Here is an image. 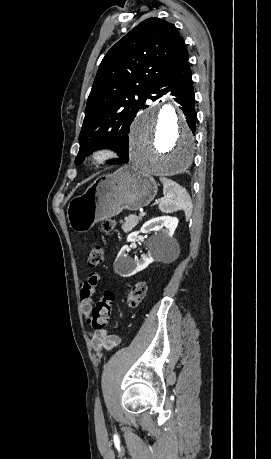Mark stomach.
Wrapping results in <instances>:
<instances>
[{"label": "stomach", "mask_w": 271, "mask_h": 459, "mask_svg": "<svg viewBox=\"0 0 271 459\" xmlns=\"http://www.w3.org/2000/svg\"><path fill=\"white\" fill-rule=\"evenodd\" d=\"M157 194V184L149 174L138 172L133 166H123L109 176H100L87 188L83 196H76L68 204L70 228L84 233L96 222L108 220L122 210H139L148 206Z\"/></svg>", "instance_id": "stomach-1"}]
</instances>
